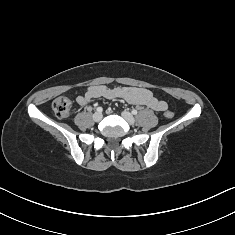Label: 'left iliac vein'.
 <instances>
[{"instance_id":"left-iliac-vein-1","label":"left iliac vein","mask_w":235,"mask_h":235,"mask_svg":"<svg viewBox=\"0 0 235 235\" xmlns=\"http://www.w3.org/2000/svg\"><path fill=\"white\" fill-rule=\"evenodd\" d=\"M121 115L129 124L133 125L135 123V118L130 112L123 111Z\"/></svg>"}]
</instances>
